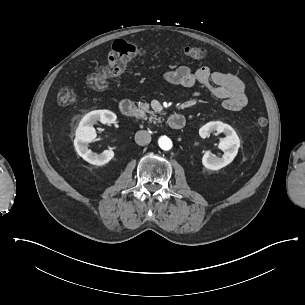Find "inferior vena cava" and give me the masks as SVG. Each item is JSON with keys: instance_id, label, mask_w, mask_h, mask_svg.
Listing matches in <instances>:
<instances>
[{"instance_id": "602c4592", "label": "inferior vena cava", "mask_w": 305, "mask_h": 305, "mask_svg": "<svg viewBox=\"0 0 305 305\" xmlns=\"http://www.w3.org/2000/svg\"><path fill=\"white\" fill-rule=\"evenodd\" d=\"M151 141V135L146 130H139L135 134V142L138 145H147Z\"/></svg>"}]
</instances>
